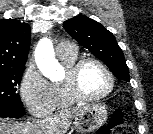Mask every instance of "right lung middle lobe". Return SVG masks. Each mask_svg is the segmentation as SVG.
<instances>
[{
    "mask_svg": "<svg viewBox=\"0 0 153 134\" xmlns=\"http://www.w3.org/2000/svg\"><path fill=\"white\" fill-rule=\"evenodd\" d=\"M25 68H0V105L22 107L16 86Z\"/></svg>",
    "mask_w": 153,
    "mask_h": 134,
    "instance_id": "right-lung-middle-lobe-1",
    "label": "right lung middle lobe"
}]
</instances>
